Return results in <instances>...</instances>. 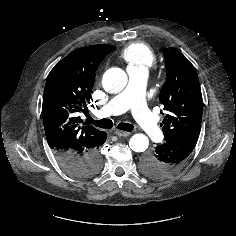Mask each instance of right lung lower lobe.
<instances>
[{"mask_svg":"<svg viewBox=\"0 0 236 236\" xmlns=\"http://www.w3.org/2000/svg\"><path fill=\"white\" fill-rule=\"evenodd\" d=\"M106 133H104L100 145L91 151L86 157H76L71 154L58 156V159L63 164L65 169L77 177H90L98 173L102 165V159L99 152L100 146L106 140ZM94 168H98L95 172Z\"/></svg>","mask_w":236,"mask_h":236,"instance_id":"obj_1","label":"right lung lower lobe"}]
</instances>
